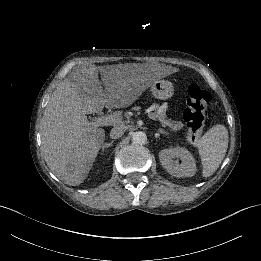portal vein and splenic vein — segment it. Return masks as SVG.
<instances>
[{"instance_id":"18ae733b","label":"portal vein and splenic vein","mask_w":261,"mask_h":261,"mask_svg":"<svg viewBox=\"0 0 261 261\" xmlns=\"http://www.w3.org/2000/svg\"><path fill=\"white\" fill-rule=\"evenodd\" d=\"M148 116L151 119L155 118V115L152 112H149ZM97 122L100 125L106 126V125H112V124H115V123H121L122 121L120 120V118H115L114 116H103V117L98 118Z\"/></svg>"}]
</instances>
